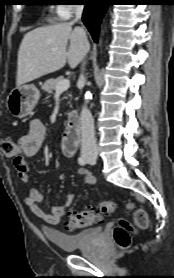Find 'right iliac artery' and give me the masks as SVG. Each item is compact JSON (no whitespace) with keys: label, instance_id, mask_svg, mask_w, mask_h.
<instances>
[{"label":"right iliac artery","instance_id":"right-iliac-artery-1","mask_svg":"<svg viewBox=\"0 0 174 278\" xmlns=\"http://www.w3.org/2000/svg\"><path fill=\"white\" fill-rule=\"evenodd\" d=\"M78 163H79L80 165H85V164H86V159H85V157L80 156V157L78 158Z\"/></svg>","mask_w":174,"mask_h":278}]
</instances>
